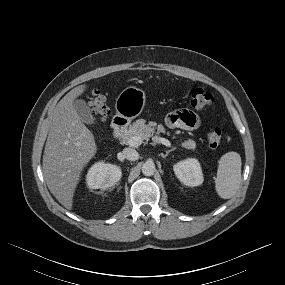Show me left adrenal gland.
<instances>
[{
	"label": "left adrenal gland",
	"instance_id": "a2214340",
	"mask_svg": "<svg viewBox=\"0 0 285 285\" xmlns=\"http://www.w3.org/2000/svg\"><path fill=\"white\" fill-rule=\"evenodd\" d=\"M176 148H172V149H170V150H167L166 151V153L165 154H161V156L163 157V158H166L167 156H168V154L171 152V151H174Z\"/></svg>",
	"mask_w": 285,
	"mask_h": 285
}]
</instances>
